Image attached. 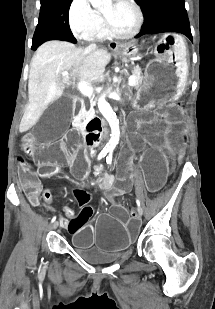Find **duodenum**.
I'll return each instance as SVG.
<instances>
[{
    "mask_svg": "<svg viewBox=\"0 0 215 309\" xmlns=\"http://www.w3.org/2000/svg\"><path fill=\"white\" fill-rule=\"evenodd\" d=\"M75 125L78 128L83 126L80 121H76ZM103 139V120L98 117L93 118L87 125L85 143L89 148H96L102 144Z\"/></svg>",
    "mask_w": 215,
    "mask_h": 309,
    "instance_id": "obj_1",
    "label": "duodenum"
}]
</instances>
